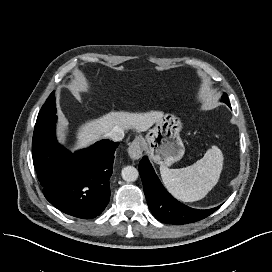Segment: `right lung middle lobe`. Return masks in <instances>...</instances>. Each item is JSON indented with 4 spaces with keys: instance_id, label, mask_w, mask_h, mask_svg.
<instances>
[{
    "instance_id": "dd1d6c3e",
    "label": "right lung middle lobe",
    "mask_w": 272,
    "mask_h": 272,
    "mask_svg": "<svg viewBox=\"0 0 272 272\" xmlns=\"http://www.w3.org/2000/svg\"><path fill=\"white\" fill-rule=\"evenodd\" d=\"M56 113V105H55V97H54V92L51 93V95L48 97L46 100L45 104L42 106L38 118L46 117L52 114Z\"/></svg>"
}]
</instances>
